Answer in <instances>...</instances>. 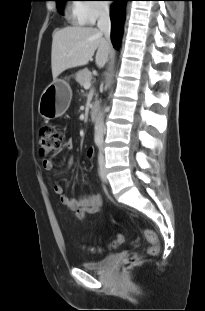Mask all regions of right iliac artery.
Listing matches in <instances>:
<instances>
[{"mask_svg":"<svg viewBox=\"0 0 205 311\" xmlns=\"http://www.w3.org/2000/svg\"><path fill=\"white\" fill-rule=\"evenodd\" d=\"M96 144H97V146H99V145H100V142H96Z\"/></svg>","mask_w":205,"mask_h":311,"instance_id":"1","label":"right iliac artery"}]
</instances>
